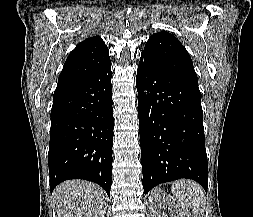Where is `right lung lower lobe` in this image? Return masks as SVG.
I'll return each mask as SVG.
<instances>
[{"instance_id":"98d812e1","label":"right lung lower lobe","mask_w":253,"mask_h":217,"mask_svg":"<svg viewBox=\"0 0 253 217\" xmlns=\"http://www.w3.org/2000/svg\"><path fill=\"white\" fill-rule=\"evenodd\" d=\"M111 64L83 79L58 85L51 109L50 189L67 179L99 184L110 197L113 108Z\"/></svg>"}]
</instances>
